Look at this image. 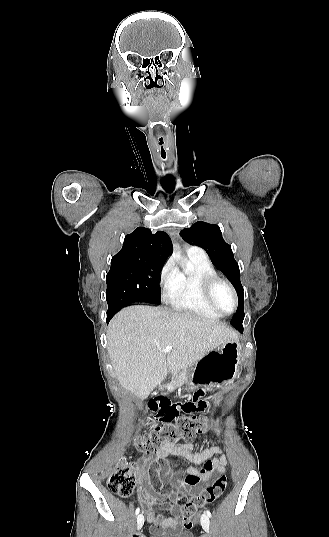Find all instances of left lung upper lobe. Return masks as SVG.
<instances>
[{"instance_id": "5c2ea615", "label": "left lung upper lobe", "mask_w": 329, "mask_h": 537, "mask_svg": "<svg viewBox=\"0 0 329 537\" xmlns=\"http://www.w3.org/2000/svg\"><path fill=\"white\" fill-rule=\"evenodd\" d=\"M183 239L189 244L203 248L210 256L213 264L228 278L238 295V308L231 324L242 331L244 319L243 287L240 282V271L235 261L231 246L227 244L218 225L196 222L190 228L181 231Z\"/></svg>"}]
</instances>
